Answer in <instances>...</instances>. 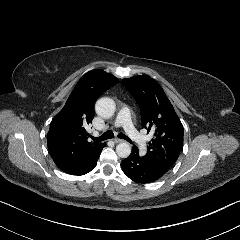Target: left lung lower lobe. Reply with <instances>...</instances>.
I'll return each mask as SVG.
<instances>
[{
    "mask_svg": "<svg viewBox=\"0 0 240 240\" xmlns=\"http://www.w3.org/2000/svg\"><path fill=\"white\" fill-rule=\"evenodd\" d=\"M123 172L133 181L150 183L161 178L167 168L156 165L145 156H140L138 149L132 148L130 156L121 163Z\"/></svg>",
    "mask_w": 240,
    "mask_h": 240,
    "instance_id": "left-lung-lower-lobe-1",
    "label": "left lung lower lobe"
}]
</instances>
